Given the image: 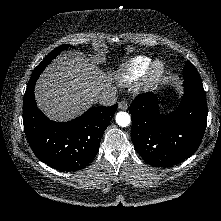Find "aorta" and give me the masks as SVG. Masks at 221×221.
Masks as SVG:
<instances>
[{
  "instance_id": "obj_1",
  "label": "aorta",
  "mask_w": 221,
  "mask_h": 221,
  "mask_svg": "<svg viewBox=\"0 0 221 221\" xmlns=\"http://www.w3.org/2000/svg\"><path fill=\"white\" fill-rule=\"evenodd\" d=\"M116 123L121 127H126L131 123L130 115L127 112L120 111L115 117Z\"/></svg>"
}]
</instances>
